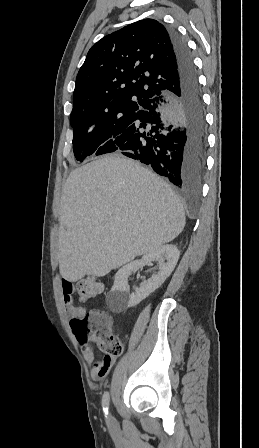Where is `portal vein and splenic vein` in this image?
I'll use <instances>...</instances> for the list:
<instances>
[{
	"label": "portal vein and splenic vein",
	"mask_w": 259,
	"mask_h": 448,
	"mask_svg": "<svg viewBox=\"0 0 259 448\" xmlns=\"http://www.w3.org/2000/svg\"><path fill=\"white\" fill-rule=\"evenodd\" d=\"M112 214H113V210H111V212H108L106 218H109V216H112Z\"/></svg>",
	"instance_id": "18ae733b"
}]
</instances>
